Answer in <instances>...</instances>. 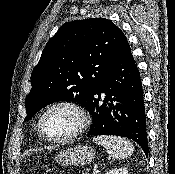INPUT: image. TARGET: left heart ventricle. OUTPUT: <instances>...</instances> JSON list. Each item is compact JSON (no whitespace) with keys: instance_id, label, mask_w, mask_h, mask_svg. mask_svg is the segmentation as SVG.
<instances>
[{"instance_id":"left-heart-ventricle-1","label":"left heart ventricle","mask_w":175,"mask_h":174,"mask_svg":"<svg viewBox=\"0 0 175 174\" xmlns=\"http://www.w3.org/2000/svg\"><path fill=\"white\" fill-rule=\"evenodd\" d=\"M77 125L76 114L67 108H56L50 111L43 122L45 133L52 138H61L70 134Z\"/></svg>"}]
</instances>
